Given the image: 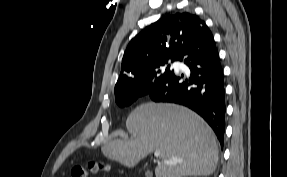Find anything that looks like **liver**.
I'll return each mask as SVG.
<instances>
[{
    "label": "liver",
    "mask_w": 287,
    "mask_h": 177,
    "mask_svg": "<svg viewBox=\"0 0 287 177\" xmlns=\"http://www.w3.org/2000/svg\"><path fill=\"white\" fill-rule=\"evenodd\" d=\"M131 134L102 147L109 159L133 167L152 151H160L156 177L207 176L219 160L216 136L208 124L186 107L148 102L135 108L126 120ZM165 161H177L166 164Z\"/></svg>",
    "instance_id": "liver-1"
}]
</instances>
